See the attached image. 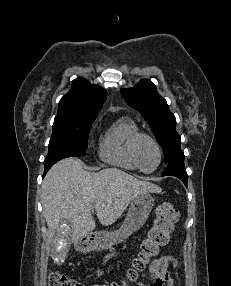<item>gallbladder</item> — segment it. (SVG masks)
<instances>
[{
	"label": "gallbladder",
	"mask_w": 231,
	"mask_h": 286,
	"mask_svg": "<svg viewBox=\"0 0 231 286\" xmlns=\"http://www.w3.org/2000/svg\"><path fill=\"white\" fill-rule=\"evenodd\" d=\"M72 223L68 220L67 217H64L63 220H61L60 223H58L57 225V233L55 237L51 242H52V246L51 249V257L52 261H54V263H63V259H65L68 256V250H69V237L68 235H70V228H72Z\"/></svg>",
	"instance_id": "bac80fb5"
}]
</instances>
